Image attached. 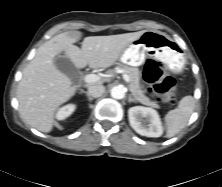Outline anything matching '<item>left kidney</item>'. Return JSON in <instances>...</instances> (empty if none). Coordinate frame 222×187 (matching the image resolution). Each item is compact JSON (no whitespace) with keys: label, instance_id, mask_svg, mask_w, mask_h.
<instances>
[{"label":"left kidney","instance_id":"1","mask_svg":"<svg viewBox=\"0 0 222 187\" xmlns=\"http://www.w3.org/2000/svg\"><path fill=\"white\" fill-rule=\"evenodd\" d=\"M131 127L140 135L160 137L163 134L161 119L156 110L143 106H134L128 110Z\"/></svg>","mask_w":222,"mask_h":187}]
</instances>
